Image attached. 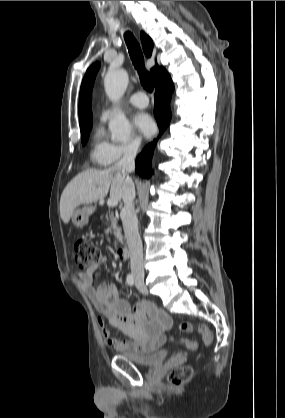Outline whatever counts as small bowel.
Masks as SVG:
<instances>
[{
  "instance_id": "c3829d8e",
  "label": "small bowel",
  "mask_w": 285,
  "mask_h": 418,
  "mask_svg": "<svg viewBox=\"0 0 285 418\" xmlns=\"http://www.w3.org/2000/svg\"><path fill=\"white\" fill-rule=\"evenodd\" d=\"M106 263V257L99 260L76 274L84 291L98 312L97 322L102 334L109 345L118 351L155 350L165 343V333L173 325L172 318L163 310L148 302L138 303L133 310L126 302L118 288L111 282L104 281L99 285L93 284L94 273ZM110 327L117 328L134 342L113 337ZM187 347L197 349V342L189 340Z\"/></svg>"
}]
</instances>
